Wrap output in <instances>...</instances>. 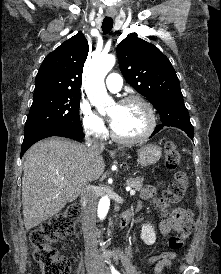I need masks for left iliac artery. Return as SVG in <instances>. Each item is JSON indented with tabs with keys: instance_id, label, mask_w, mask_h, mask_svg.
I'll return each instance as SVG.
<instances>
[{
	"instance_id": "1",
	"label": "left iliac artery",
	"mask_w": 221,
	"mask_h": 274,
	"mask_svg": "<svg viewBox=\"0 0 221 274\" xmlns=\"http://www.w3.org/2000/svg\"><path fill=\"white\" fill-rule=\"evenodd\" d=\"M111 267V272H112V274H121L119 271H117L115 268H114V266H110Z\"/></svg>"
}]
</instances>
